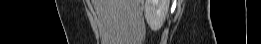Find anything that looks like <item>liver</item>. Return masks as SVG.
Segmentation results:
<instances>
[{
  "label": "liver",
  "instance_id": "obj_1",
  "mask_svg": "<svg viewBox=\"0 0 261 44\" xmlns=\"http://www.w3.org/2000/svg\"><path fill=\"white\" fill-rule=\"evenodd\" d=\"M140 0H93L100 19L102 44H137L142 41Z\"/></svg>",
  "mask_w": 261,
  "mask_h": 44
}]
</instances>
